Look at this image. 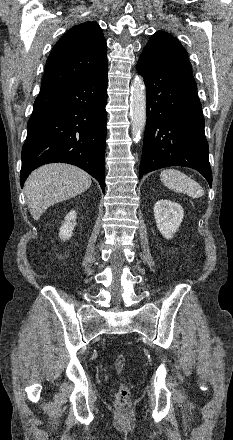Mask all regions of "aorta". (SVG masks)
Wrapping results in <instances>:
<instances>
[{
  "label": "aorta",
  "instance_id": "obj_1",
  "mask_svg": "<svg viewBox=\"0 0 233 440\" xmlns=\"http://www.w3.org/2000/svg\"><path fill=\"white\" fill-rule=\"evenodd\" d=\"M130 117L132 136L138 141L146 125V91L141 76H136L131 85Z\"/></svg>",
  "mask_w": 233,
  "mask_h": 440
}]
</instances>
